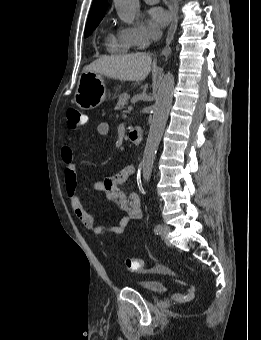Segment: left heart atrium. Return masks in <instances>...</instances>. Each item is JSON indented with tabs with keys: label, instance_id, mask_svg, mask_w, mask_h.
Here are the masks:
<instances>
[{
	"label": "left heart atrium",
	"instance_id": "obj_1",
	"mask_svg": "<svg viewBox=\"0 0 261 340\" xmlns=\"http://www.w3.org/2000/svg\"><path fill=\"white\" fill-rule=\"evenodd\" d=\"M150 24L155 29L158 30L165 26L169 21L168 13L161 8H153L150 10Z\"/></svg>",
	"mask_w": 261,
	"mask_h": 340
}]
</instances>
